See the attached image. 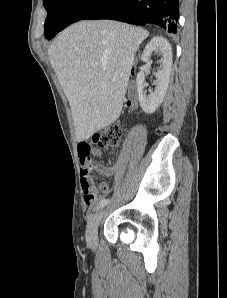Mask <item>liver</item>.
I'll use <instances>...</instances> for the list:
<instances>
[{
    "label": "liver",
    "instance_id": "1",
    "mask_svg": "<svg viewBox=\"0 0 227 298\" xmlns=\"http://www.w3.org/2000/svg\"><path fill=\"white\" fill-rule=\"evenodd\" d=\"M147 36L146 30L118 21H79L49 47L78 142L119 118L136 51Z\"/></svg>",
    "mask_w": 227,
    "mask_h": 298
}]
</instances>
